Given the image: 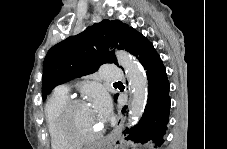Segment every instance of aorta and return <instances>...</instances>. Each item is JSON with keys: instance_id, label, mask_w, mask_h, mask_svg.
<instances>
[{"instance_id": "762f6f07", "label": "aorta", "mask_w": 227, "mask_h": 149, "mask_svg": "<svg viewBox=\"0 0 227 149\" xmlns=\"http://www.w3.org/2000/svg\"><path fill=\"white\" fill-rule=\"evenodd\" d=\"M118 63L124 68L132 91L129 123L135 124L144 113L147 102V77L134 57L125 51L116 53Z\"/></svg>"}]
</instances>
